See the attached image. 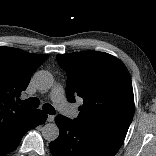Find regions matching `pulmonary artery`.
Masks as SVG:
<instances>
[{
	"instance_id": "1",
	"label": "pulmonary artery",
	"mask_w": 156,
	"mask_h": 156,
	"mask_svg": "<svg viewBox=\"0 0 156 156\" xmlns=\"http://www.w3.org/2000/svg\"><path fill=\"white\" fill-rule=\"evenodd\" d=\"M50 99L53 101L55 106L61 110L67 117L74 119L77 117V111L70 106L65 97L64 89L61 85H55L50 93Z\"/></svg>"
}]
</instances>
